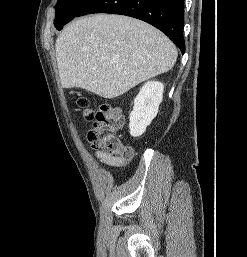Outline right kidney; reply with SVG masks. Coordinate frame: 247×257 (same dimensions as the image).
<instances>
[{"instance_id": "obj_1", "label": "right kidney", "mask_w": 247, "mask_h": 257, "mask_svg": "<svg viewBox=\"0 0 247 257\" xmlns=\"http://www.w3.org/2000/svg\"><path fill=\"white\" fill-rule=\"evenodd\" d=\"M164 85L159 81H148L134 99L133 111L129 116L130 135L141 136L156 117L163 99Z\"/></svg>"}]
</instances>
